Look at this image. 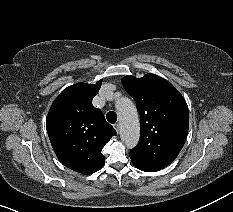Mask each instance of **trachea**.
I'll list each match as a JSON object with an SVG mask.
<instances>
[{
  "label": "trachea",
  "mask_w": 233,
  "mask_h": 212,
  "mask_svg": "<svg viewBox=\"0 0 233 212\" xmlns=\"http://www.w3.org/2000/svg\"><path fill=\"white\" fill-rule=\"evenodd\" d=\"M106 119L109 123L114 124L117 121V114L113 111H110L107 113Z\"/></svg>",
  "instance_id": "3493384b"
}]
</instances>
